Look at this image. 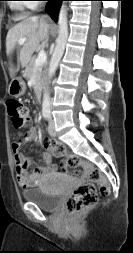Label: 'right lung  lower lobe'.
<instances>
[{
    "instance_id": "obj_1",
    "label": "right lung lower lobe",
    "mask_w": 133,
    "mask_h": 253,
    "mask_svg": "<svg viewBox=\"0 0 133 253\" xmlns=\"http://www.w3.org/2000/svg\"><path fill=\"white\" fill-rule=\"evenodd\" d=\"M47 1H51V3L46 6V11L49 13V15L54 21H57L58 11L62 0H47Z\"/></svg>"
}]
</instances>
